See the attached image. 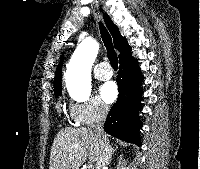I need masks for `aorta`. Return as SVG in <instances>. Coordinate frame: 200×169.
Instances as JSON below:
<instances>
[{
	"label": "aorta",
	"mask_w": 200,
	"mask_h": 169,
	"mask_svg": "<svg viewBox=\"0 0 200 169\" xmlns=\"http://www.w3.org/2000/svg\"><path fill=\"white\" fill-rule=\"evenodd\" d=\"M98 50V43L86 38L78 45L67 65V89L76 100H87L91 94V68Z\"/></svg>",
	"instance_id": "762f6f07"
}]
</instances>
